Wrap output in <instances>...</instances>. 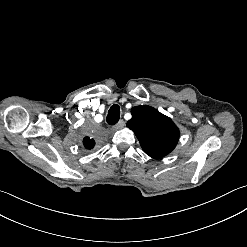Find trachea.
Listing matches in <instances>:
<instances>
[{"label":"trachea","mask_w":247,"mask_h":247,"mask_svg":"<svg viewBox=\"0 0 247 247\" xmlns=\"http://www.w3.org/2000/svg\"><path fill=\"white\" fill-rule=\"evenodd\" d=\"M120 118V107L117 104H114L107 115V123L114 125L119 121Z\"/></svg>","instance_id":"trachea-1"}]
</instances>
